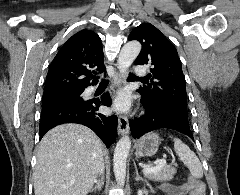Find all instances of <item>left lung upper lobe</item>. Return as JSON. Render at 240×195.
Masks as SVG:
<instances>
[{
    "label": "left lung upper lobe",
    "instance_id": "left-lung-upper-lobe-1",
    "mask_svg": "<svg viewBox=\"0 0 240 195\" xmlns=\"http://www.w3.org/2000/svg\"><path fill=\"white\" fill-rule=\"evenodd\" d=\"M128 40H138L142 50L136 65H148L150 84L137 90L141 102L151 107L171 106L187 112V94L181 61L171 42L152 24L135 27Z\"/></svg>",
    "mask_w": 240,
    "mask_h": 195
}]
</instances>
